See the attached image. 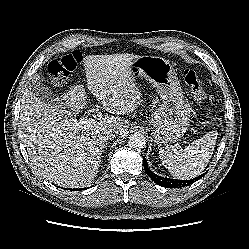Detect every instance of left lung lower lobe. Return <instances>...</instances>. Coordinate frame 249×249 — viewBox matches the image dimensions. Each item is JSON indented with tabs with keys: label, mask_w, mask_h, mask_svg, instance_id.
<instances>
[{
	"label": "left lung lower lobe",
	"mask_w": 249,
	"mask_h": 249,
	"mask_svg": "<svg viewBox=\"0 0 249 249\" xmlns=\"http://www.w3.org/2000/svg\"><path fill=\"white\" fill-rule=\"evenodd\" d=\"M143 164H144V169L146 174L158 185L166 188H180V187H185L187 185L193 184L196 182L198 179L202 178L204 174H201L200 176L190 179V180H178V179H170V178H164L161 176H158L154 174L147 166L146 159L143 158Z\"/></svg>",
	"instance_id": "0a47b994"
}]
</instances>
